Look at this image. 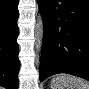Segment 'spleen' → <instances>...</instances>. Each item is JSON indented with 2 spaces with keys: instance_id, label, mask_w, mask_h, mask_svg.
<instances>
[{
  "instance_id": "3e777b00",
  "label": "spleen",
  "mask_w": 89,
  "mask_h": 89,
  "mask_svg": "<svg viewBox=\"0 0 89 89\" xmlns=\"http://www.w3.org/2000/svg\"><path fill=\"white\" fill-rule=\"evenodd\" d=\"M51 89H89V82L73 75L58 74L50 82Z\"/></svg>"
}]
</instances>
